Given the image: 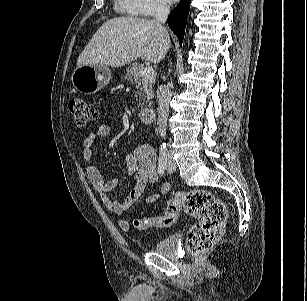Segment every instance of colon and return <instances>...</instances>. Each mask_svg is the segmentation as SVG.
I'll use <instances>...</instances> for the list:
<instances>
[{
  "instance_id": "1",
  "label": "colon",
  "mask_w": 307,
  "mask_h": 301,
  "mask_svg": "<svg viewBox=\"0 0 307 301\" xmlns=\"http://www.w3.org/2000/svg\"><path fill=\"white\" fill-rule=\"evenodd\" d=\"M69 109L79 126H84L98 117L97 106L83 98L70 100ZM181 212L196 219V222L189 227L186 239L190 252L204 253L221 238L223 225L227 219L226 206L211 192L203 189L177 192L167 202L165 214L136 219L134 226L139 230L170 227L178 220Z\"/></svg>"
}]
</instances>
